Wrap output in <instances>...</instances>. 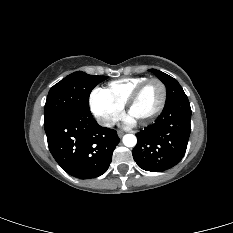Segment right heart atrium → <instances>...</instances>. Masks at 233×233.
Masks as SVG:
<instances>
[{"mask_svg": "<svg viewBox=\"0 0 233 233\" xmlns=\"http://www.w3.org/2000/svg\"><path fill=\"white\" fill-rule=\"evenodd\" d=\"M89 106L98 123L110 128L123 115V107L113 102L103 89H94L89 96Z\"/></svg>", "mask_w": 233, "mask_h": 233, "instance_id": "right-heart-atrium-1", "label": "right heart atrium"}]
</instances>
